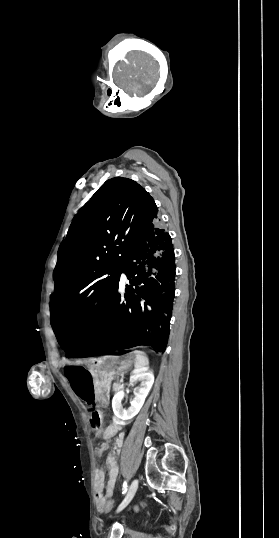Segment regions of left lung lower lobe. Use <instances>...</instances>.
I'll return each mask as SVG.
<instances>
[{"mask_svg": "<svg viewBox=\"0 0 279 538\" xmlns=\"http://www.w3.org/2000/svg\"><path fill=\"white\" fill-rule=\"evenodd\" d=\"M123 271L131 283L126 285L125 301L120 300L118 285L89 335L68 331L57 335L67 357L104 355L139 345L165 351L175 290L171 237L158 224L151 225L125 260Z\"/></svg>", "mask_w": 279, "mask_h": 538, "instance_id": "0a47b994", "label": "left lung lower lobe"}]
</instances>
